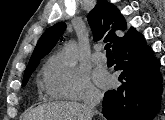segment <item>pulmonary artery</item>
I'll list each match as a JSON object with an SVG mask.
<instances>
[{
    "instance_id": "1",
    "label": "pulmonary artery",
    "mask_w": 165,
    "mask_h": 120,
    "mask_svg": "<svg viewBox=\"0 0 165 120\" xmlns=\"http://www.w3.org/2000/svg\"><path fill=\"white\" fill-rule=\"evenodd\" d=\"M106 60L107 58L105 54L101 51V48L97 47L95 53L93 54V61L95 63L104 64L106 63Z\"/></svg>"
}]
</instances>
